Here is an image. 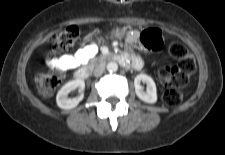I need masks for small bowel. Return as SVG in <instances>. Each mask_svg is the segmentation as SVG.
<instances>
[{"label":"small bowel","instance_id":"small-bowel-1","mask_svg":"<svg viewBox=\"0 0 225 155\" xmlns=\"http://www.w3.org/2000/svg\"><path fill=\"white\" fill-rule=\"evenodd\" d=\"M139 41V35L137 32H131L127 36V47L129 53L126 55L130 57L137 64H141L140 59L134 54V49L137 47ZM97 45L90 44L83 48H80L73 55H63L59 58L52 59L50 65L60 69H71L81 64L86 63L97 53Z\"/></svg>","mask_w":225,"mask_h":155}]
</instances>
